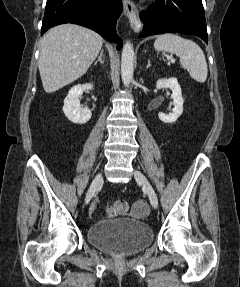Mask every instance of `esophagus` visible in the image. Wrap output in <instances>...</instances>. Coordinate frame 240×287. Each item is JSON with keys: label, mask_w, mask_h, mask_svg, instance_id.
Returning a JSON list of instances; mask_svg holds the SVG:
<instances>
[{"label": "esophagus", "mask_w": 240, "mask_h": 287, "mask_svg": "<svg viewBox=\"0 0 240 287\" xmlns=\"http://www.w3.org/2000/svg\"><path fill=\"white\" fill-rule=\"evenodd\" d=\"M124 14L128 18L130 26L135 32H139L143 24L139 18L138 10L135 3L131 0L123 1Z\"/></svg>", "instance_id": "esophagus-1"}]
</instances>
